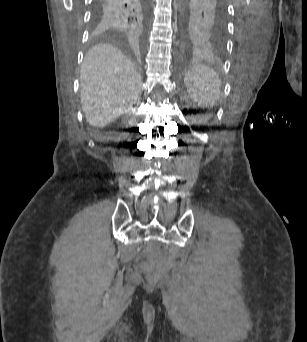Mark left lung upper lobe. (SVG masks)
Instances as JSON below:
<instances>
[{
    "label": "left lung upper lobe",
    "mask_w": 307,
    "mask_h": 342,
    "mask_svg": "<svg viewBox=\"0 0 307 342\" xmlns=\"http://www.w3.org/2000/svg\"><path fill=\"white\" fill-rule=\"evenodd\" d=\"M184 44L187 48L221 53L226 42V0H185Z\"/></svg>",
    "instance_id": "1"
}]
</instances>
